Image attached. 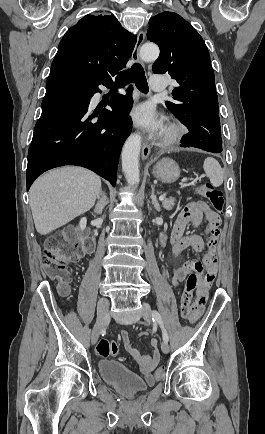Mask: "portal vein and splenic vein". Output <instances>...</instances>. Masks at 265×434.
<instances>
[{"instance_id": "obj_1", "label": "portal vein and splenic vein", "mask_w": 265, "mask_h": 434, "mask_svg": "<svg viewBox=\"0 0 265 434\" xmlns=\"http://www.w3.org/2000/svg\"><path fill=\"white\" fill-rule=\"evenodd\" d=\"M181 188H185V186H188V184H180ZM165 194L163 196H160L159 200H164Z\"/></svg>"}]
</instances>
